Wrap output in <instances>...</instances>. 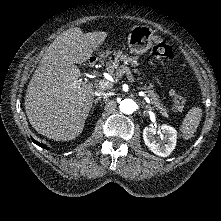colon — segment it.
Here are the masks:
<instances>
[{"instance_id":"5ec220e1","label":"colon","mask_w":221,"mask_h":221,"mask_svg":"<svg viewBox=\"0 0 221 221\" xmlns=\"http://www.w3.org/2000/svg\"><path fill=\"white\" fill-rule=\"evenodd\" d=\"M152 54L156 61L167 63L174 60L173 49L168 41L162 37H156L152 48ZM171 97L173 100L174 110L181 112L185 106V96L182 90L177 89L172 91Z\"/></svg>"}]
</instances>
